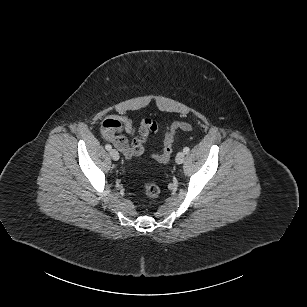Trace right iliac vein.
Listing matches in <instances>:
<instances>
[{"instance_id": "1", "label": "right iliac vein", "mask_w": 307, "mask_h": 307, "mask_svg": "<svg viewBox=\"0 0 307 307\" xmlns=\"http://www.w3.org/2000/svg\"><path fill=\"white\" fill-rule=\"evenodd\" d=\"M110 156L112 157L113 160L117 161L119 159V153L116 149H111L110 150Z\"/></svg>"}]
</instances>
